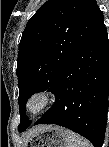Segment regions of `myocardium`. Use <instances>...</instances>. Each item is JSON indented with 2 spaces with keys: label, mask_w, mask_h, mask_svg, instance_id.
Here are the masks:
<instances>
[{
  "label": "myocardium",
  "mask_w": 109,
  "mask_h": 147,
  "mask_svg": "<svg viewBox=\"0 0 109 147\" xmlns=\"http://www.w3.org/2000/svg\"><path fill=\"white\" fill-rule=\"evenodd\" d=\"M53 99L54 94L50 90L35 91L26 100V110L33 115L40 114L49 107Z\"/></svg>",
  "instance_id": "obj_1"
}]
</instances>
